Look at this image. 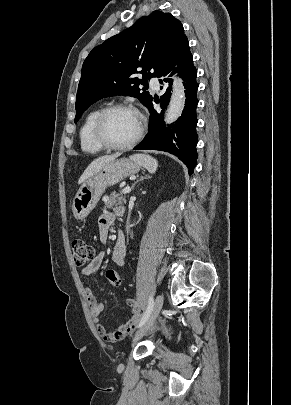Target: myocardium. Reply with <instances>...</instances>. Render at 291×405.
I'll return each mask as SVG.
<instances>
[{
  "mask_svg": "<svg viewBox=\"0 0 291 405\" xmlns=\"http://www.w3.org/2000/svg\"><path fill=\"white\" fill-rule=\"evenodd\" d=\"M117 110H132L136 112L140 119V127L136 136L129 142L124 144H115L110 142L104 133L105 120L109 114ZM145 131V121L143 114L133 105L127 103H115L101 109L96 116L92 126V136L95 142L104 149L108 150H127L134 147L143 137Z\"/></svg>",
  "mask_w": 291,
  "mask_h": 405,
  "instance_id": "1",
  "label": "myocardium"
}]
</instances>
